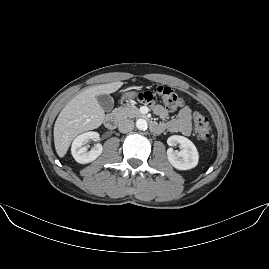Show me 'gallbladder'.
<instances>
[{
	"label": "gallbladder",
	"instance_id": "obj_1",
	"mask_svg": "<svg viewBox=\"0 0 269 269\" xmlns=\"http://www.w3.org/2000/svg\"><path fill=\"white\" fill-rule=\"evenodd\" d=\"M99 105L106 112H110L114 107V100L108 94L99 95L96 97Z\"/></svg>",
	"mask_w": 269,
	"mask_h": 269
}]
</instances>
